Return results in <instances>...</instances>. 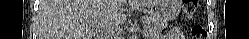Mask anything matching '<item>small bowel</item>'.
<instances>
[{"label":"small bowel","mask_w":249,"mask_h":39,"mask_svg":"<svg viewBox=\"0 0 249 39\" xmlns=\"http://www.w3.org/2000/svg\"><path fill=\"white\" fill-rule=\"evenodd\" d=\"M181 35V32L179 29L177 28H174L172 29L168 34L167 36L171 39H174V38H178L179 36Z\"/></svg>","instance_id":"1"}]
</instances>
